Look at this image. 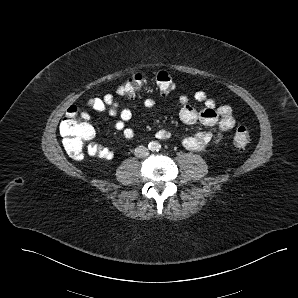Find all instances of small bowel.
I'll list each match as a JSON object with an SVG mask.
<instances>
[{"label":"small bowel","mask_w":298,"mask_h":298,"mask_svg":"<svg viewBox=\"0 0 298 298\" xmlns=\"http://www.w3.org/2000/svg\"><path fill=\"white\" fill-rule=\"evenodd\" d=\"M194 100L203 104L200 110L195 109L189 104V98L186 95H181L178 98L179 117L182 122L186 124H194L200 122L206 126L217 125L218 129L215 132H198L191 136H187L182 140L183 146L190 151H202L208 145H219L225 135L234 127L235 118L233 116L232 108L229 105H217L216 102L207 96L203 91H197ZM155 101L147 98L142 102V107L151 109L155 106ZM86 106L96 112L106 113L110 116L118 117L115 122V128L124 138L132 139L134 137V130L127 126V122L131 120L133 113L138 109V105L131 108H121L116 98L107 94L103 97L91 98L86 102ZM156 137L159 139H169L171 137L170 131L161 129L157 131ZM89 154L97 156L105 160H112L114 153L108 147L95 144L89 149Z\"/></svg>","instance_id":"c3829d8e"}]
</instances>
